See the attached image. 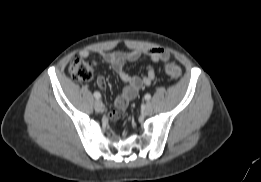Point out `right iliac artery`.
Instances as JSON below:
<instances>
[{"label":"right iliac artery","mask_w":261,"mask_h":182,"mask_svg":"<svg viewBox=\"0 0 261 182\" xmlns=\"http://www.w3.org/2000/svg\"><path fill=\"white\" fill-rule=\"evenodd\" d=\"M94 97L96 99H100L101 98V94L99 92H94Z\"/></svg>","instance_id":"obj_1"}]
</instances>
